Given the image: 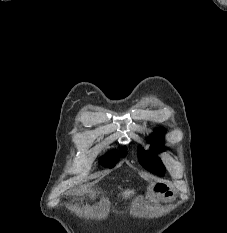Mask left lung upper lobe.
<instances>
[{"label": "left lung upper lobe", "instance_id": "obj_1", "mask_svg": "<svg viewBox=\"0 0 227 233\" xmlns=\"http://www.w3.org/2000/svg\"><path fill=\"white\" fill-rule=\"evenodd\" d=\"M163 134L164 130L157 129L149 138L148 141L151 143V151H144L142 148H139V162L147 170L163 176L164 166L161 160L157 157L156 153L162 151L163 149Z\"/></svg>", "mask_w": 227, "mask_h": 233}]
</instances>
